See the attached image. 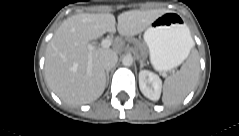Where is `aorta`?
<instances>
[{
	"label": "aorta",
	"mask_w": 239,
	"mask_h": 136,
	"mask_svg": "<svg viewBox=\"0 0 239 136\" xmlns=\"http://www.w3.org/2000/svg\"><path fill=\"white\" fill-rule=\"evenodd\" d=\"M133 63V58L131 56H125L123 59H122V64L124 66H131Z\"/></svg>",
	"instance_id": "762f6f07"
}]
</instances>
